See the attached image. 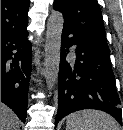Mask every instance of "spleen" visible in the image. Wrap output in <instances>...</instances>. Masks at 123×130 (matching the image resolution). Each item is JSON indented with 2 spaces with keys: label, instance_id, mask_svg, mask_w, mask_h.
Wrapping results in <instances>:
<instances>
[{
  "label": "spleen",
  "instance_id": "spleen-1",
  "mask_svg": "<svg viewBox=\"0 0 123 130\" xmlns=\"http://www.w3.org/2000/svg\"><path fill=\"white\" fill-rule=\"evenodd\" d=\"M66 130H117L109 114L97 110L74 112L66 118Z\"/></svg>",
  "mask_w": 123,
  "mask_h": 130
}]
</instances>
